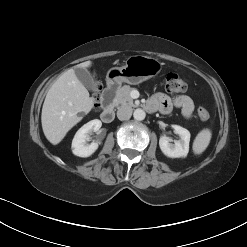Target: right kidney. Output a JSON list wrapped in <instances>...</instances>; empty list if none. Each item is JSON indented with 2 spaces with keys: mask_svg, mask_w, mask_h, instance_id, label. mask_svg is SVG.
Segmentation results:
<instances>
[{
  "mask_svg": "<svg viewBox=\"0 0 247 247\" xmlns=\"http://www.w3.org/2000/svg\"><path fill=\"white\" fill-rule=\"evenodd\" d=\"M102 126V122L98 119H94L84 124L75 134L72 141V152L79 157H89L98 149V142L90 140L89 135L92 132H98Z\"/></svg>",
  "mask_w": 247,
  "mask_h": 247,
  "instance_id": "right-kidney-1",
  "label": "right kidney"
}]
</instances>
